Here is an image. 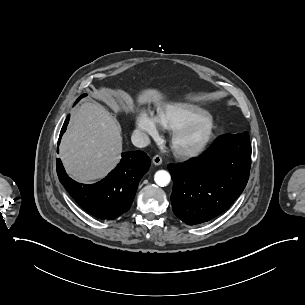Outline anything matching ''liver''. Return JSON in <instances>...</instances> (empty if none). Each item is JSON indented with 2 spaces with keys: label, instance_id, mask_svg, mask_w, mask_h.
<instances>
[{
  "label": "liver",
  "instance_id": "1",
  "mask_svg": "<svg viewBox=\"0 0 305 305\" xmlns=\"http://www.w3.org/2000/svg\"><path fill=\"white\" fill-rule=\"evenodd\" d=\"M113 95V92H107L102 94L101 99L118 111ZM126 99L132 108V98L126 95ZM162 99L159 91L146 89L138 95L137 102L140 105L153 102L159 106ZM59 150L62 163L74 180L88 183L102 179L121 159V128L102 105L84 102L72 111Z\"/></svg>",
  "mask_w": 305,
  "mask_h": 305
}]
</instances>
